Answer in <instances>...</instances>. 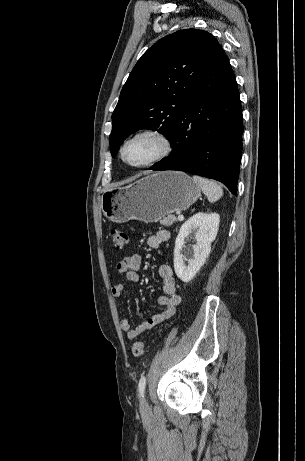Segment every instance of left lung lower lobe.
Returning <instances> with one entry per match:
<instances>
[{
	"label": "left lung lower lobe",
	"mask_w": 305,
	"mask_h": 461,
	"mask_svg": "<svg viewBox=\"0 0 305 461\" xmlns=\"http://www.w3.org/2000/svg\"><path fill=\"white\" fill-rule=\"evenodd\" d=\"M243 119L236 79L224 51L194 87L169 141L172 152L150 167L222 182L237 195Z\"/></svg>",
	"instance_id": "left-lung-lower-lobe-1"
}]
</instances>
